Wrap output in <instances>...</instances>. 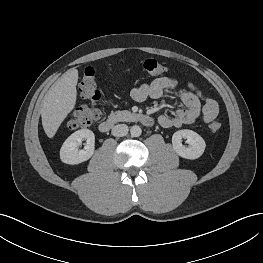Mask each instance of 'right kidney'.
<instances>
[{"label":"right kidney","instance_id":"1","mask_svg":"<svg viewBox=\"0 0 263 263\" xmlns=\"http://www.w3.org/2000/svg\"><path fill=\"white\" fill-rule=\"evenodd\" d=\"M86 140L84 149L80 150L78 145ZM95 135L89 129H81L70 135L60 149V159L66 164H79L89 158L94 153Z\"/></svg>","mask_w":263,"mask_h":263}]
</instances>
